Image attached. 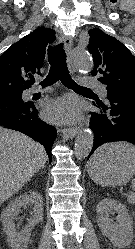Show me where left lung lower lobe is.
Instances as JSON below:
<instances>
[{
	"instance_id": "1",
	"label": "left lung lower lobe",
	"mask_w": 135,
	"mask_h": 249,
	"mask_svg": "<svg viewBox=\"0 0 135 249\" xmlns=\"http://www.w3.org/2000/svg\"><path fill=\"white\" fill-rule=\"evenodd\" d=\"M94 100L97 110L91 112L90 118V127L94 132L90 155L107 142L127 141L135 144V99L110 95L106 103L98 98Z\"/></svg>"
}]
</instances>
